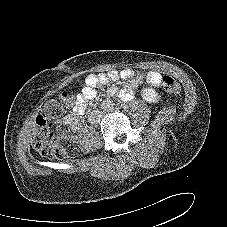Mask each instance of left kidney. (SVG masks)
Instances as JSON below:
<instances>
[{
  "label": "left kidney",
  "instance_id": "obj_1",
  "mask_svg": "<svg viewBox=\"0 0 227 227\" xmlns=\"http://www.w3.org/2000/svg\"><path fill=\"white\" fill-rule=\"evenodd\" d=\"M143 99L150 103H156L159 101L160 96L154 88H144L141 92Z\"/></svg>",
  "mask_w": 227,
  "mask_h": 227
}]
</instances>
